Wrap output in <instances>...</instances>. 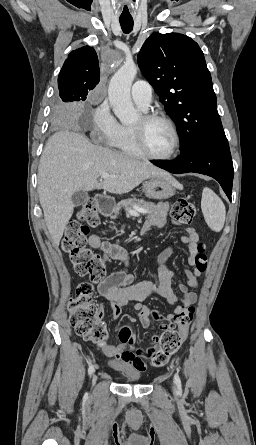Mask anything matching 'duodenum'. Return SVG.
Listing matches in <instances>:
<instances>
[{"label": "duodenum", "instance_id": "410a0bca", "mask_svg": "<svg viewBox=\"0 0 256 445\" xmlns=\"http://www.w3.org/2000/svg\"><path fill=\"white\" fill-rule=\"evenodd\" d=\"M95 201L97 211L101 216H108L111 214L114 204L109 198L103 195H97Z\"/></svg>", "mask_w": 256, "mask_h": 445}]
</instances>
